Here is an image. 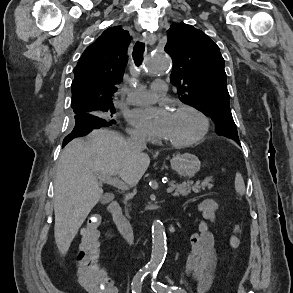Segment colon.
I'll use <instances>...</instances> for the list:
<instances>
[{
    "mask_svg": "<svg viewBox=\"0 0 293 293\" xmlns=\"http://www.w3.org/2000/svg\"><path fill=\"white\" fill-rule=\"evenodd\" d=\"M100 217L91 213L81 232L82 241L78 253V280L87 293H115L114 287L100 264V246L98 242V226ZM230 245H238L236 235L230 237Z\"/></svg>",
    "mask_w": 293,
    "mask_h": 293,
    "instance_id": "colon-1",
    "label": "colon"
}]
</instances>
